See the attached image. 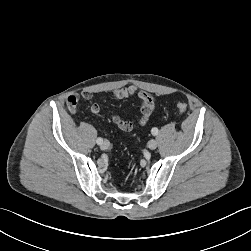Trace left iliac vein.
<instances>
[{
    "label": "left iliac vein",
    "instance_id": "4c4485c4",
    "mask_svg": "<svg viewBox=\"0 0 251 251\" xmlns=\"http://www.w3.org/2000/svg\"><path fill=\"white\" fill-rule=\"evenodd\" d=\"M157 145H158V143H157V141L154 140V139H152V140H150V141L148 142V147H149L151 150L156 149V148H157Z\"/></svg>",
    "mask_w": 251,
    "mask_h": 251
}]
</instances>
